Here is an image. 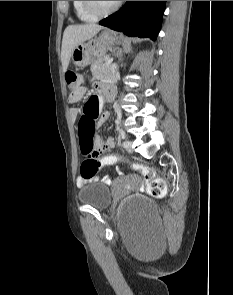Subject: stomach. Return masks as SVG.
I'll list each match as a JSON object with an SVG mask.
<instances>
[{"label":"stomach","mask_w":233,"mask_h":295,"mask_svg":"<svg viewBox=\"0 0 233 295\" xmlns=\"http://www.w3.org/2000/svg\"><path fill=\"white\" fill-rule=\"evenodd\" d=\"M118 40L115 32L104 30L98 36L78 44L72 51V62L77 67L88 66L95 58H102L109 46Z\"/></svg>","instance_id":"stomach-1"}]
</instances>
